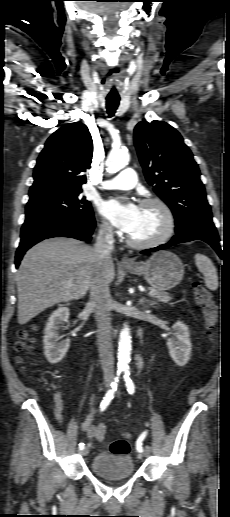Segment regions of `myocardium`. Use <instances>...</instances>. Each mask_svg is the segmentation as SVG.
<instances>
[{
	"mask_svg": "<svg viewBox=\"0 0 230 517\" xmlns=\"http://www.w3.org/2000/svg\"><path fill=\"white\" fill-rule=\"evenodd\" d=\"M156 205L163 214L164 217V228L162 232L150 240L140 241L132 238L130 235L127 236V242L130 246L139 249H146L159 246L165 243L174 233L176 227V220L174 213L170 206L159 197H148L141 201V206Z\"/></svg>",
	"mask_w": 230,
	"mask_h": 517,
	"instance_id": "obj_1",
	"label": "myocardium"
}]
</instances>
